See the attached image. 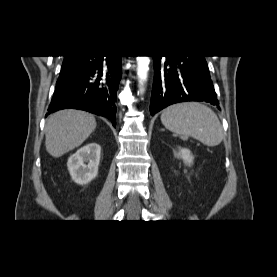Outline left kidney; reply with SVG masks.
Here are the masks:
<instances>
[{
	"mask_svg": "<svg viewBox=\"0 0 277 277\" xmlns=\"http://www.w3.org/2000/svg\"><path fill=\"white\" fill-rule=\"evenodd\" d=\"M178 149H179V151L176 154L177 157L181 158L183 160L184 164L190 166L193 163V159H194L191 151L187 148H181V147H179Z\"/></svg>",
	"mask_w": 277,
	"mask_h": 277,
	"instance_id": "1",
	"label": "left kidney"
}]
</instances>
